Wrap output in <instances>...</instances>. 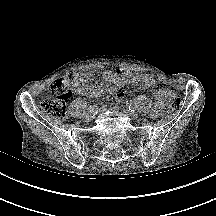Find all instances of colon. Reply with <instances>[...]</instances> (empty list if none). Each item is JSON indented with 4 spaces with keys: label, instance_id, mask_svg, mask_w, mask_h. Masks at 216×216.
<instances>
[{
    "label": "colon",
    "instance_id": "obj_1",
    "mask_svg": "<svg viewBox=\"0 0 216 216\" xmlns=\"http://www.w3.org/2000/svg\"><path fill=\"white\" fill-rule=\"evenodd\" d=\"M86 79L85 75L76 72H71L58 78L51 86L54 95L42 102V109L53 118L63 120L66 117V104L72 95L73 88ZM167 96L169 108L178 110L181 106L180 98L169 90Z\"/></svg>",
    "mask_w": 216,
    "mask_h": 216
}]
</instances>
